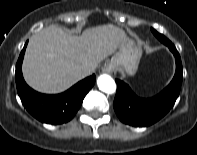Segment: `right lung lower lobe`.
<instances>
[{"label": "right lung lower lobe", "mask_w": 197, "mask_h": 155, "mask_svg": "<svg viewBox=\"0 0 197 155\" xmlns=\"http://www.w3.org/2000/svg\"><path fill=\"white\" fill-rule=\"evenodd\" d=\"M27 43L16 64L15 80L18 95L27 111L36 119L48 124L70 121L80 108L85 95L93 87L96 77L92 75L57 95L41 94L31 89L22 76V62Z\"/></svg>", "instance_id": "right-lung-lower-lobe-1"}]
</instances>
